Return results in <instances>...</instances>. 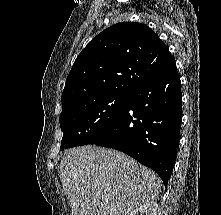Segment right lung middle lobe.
Masks as SVG:
<instances>
[{
    "label": "right lung middle lobe",
    "instance_id": "1",
    "mask_svg": "<svg viewBox=\"0 0 221 215\" xmlns=\"http://www.w3.org/2000/svg\"><path fill=\"white\" fill-rule=\"evenodd\" d=\"M128 94L110 93L77 101L62 109L61 150L90 144L105 134L121 116Z\"/></svg>",
    "mask_w": 221,
    "mask_h": 215
}]
</instances>
